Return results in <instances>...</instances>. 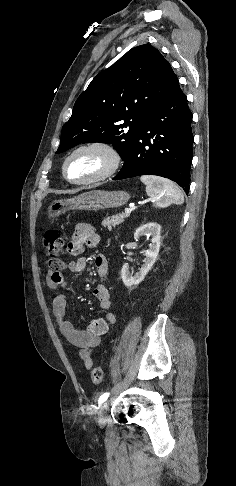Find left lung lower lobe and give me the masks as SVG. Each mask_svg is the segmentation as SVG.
Returning a JSON list of instances; mask_svg holds the SVG:
<instances>
[{
	"label": "left lung lower lobe",
	"mask_w": 236,
	"mask_h": 486,
	"mask_svg": "<svg viewBox=\"0 0 236 486\" xmlns=\"http://www.w3.org/2000/svg\"><path fill=\"white\" fill-rule=\"evenodd\" d=\"M192 113L179 82L155 108L113 180L157 175L189 191L193 157Z\"/></svg>",
	"instance_id": "left-lung-lower-lobe-1"
}]
</instances>
